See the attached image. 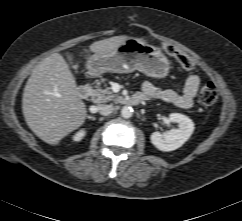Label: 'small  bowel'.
<instances>
[{"label":"small bowel","instance_id":"small-bowel-1","mask_svg":"<svg viewBox=\"0 0 242 221\" xmlns=\"http://www.w3.org/2000/svg\"><path fill=\"white\" fill-rule=\"evenodd\" d=\"M200 82L198 75H186L183 79L182 91L179 93L173 89L158 88L152 82L145 81L139 96L144 100L160 101L173 104L182 109H189L193 105Z\"/></svg>","mask_w":242,"mask_h":221}]
</instances>
